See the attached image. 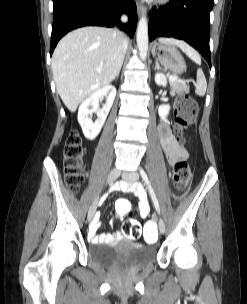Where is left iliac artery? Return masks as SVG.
I'll return each mask as SVG.
<instances>
[{"label": "left iliac artery", "instance_id": "1", "mask_svg": "<svg viewBox=\"0 0 247 304\" xmlns=\"http://www.w3.org/2000/svg\"><path fill=\"white\" fill-rule=\"evenodd\" d=\"M140 174H141L142 179L144 180V182L148 186L149 194H150L151 199L153 201L154 207H155L156 211L160 214V207H159L157 197H156L155 192H154V190H153V188L150 184V181L148 179V176H147L146 172L142 168L140 169Z\"/></svg>", "mask_w": 247, "mask_h": 304}]
</instances>
